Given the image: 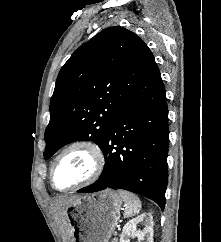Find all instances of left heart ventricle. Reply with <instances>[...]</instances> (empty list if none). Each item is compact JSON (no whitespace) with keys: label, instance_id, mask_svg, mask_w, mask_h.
I'll use <instances>...</instances> for the list:
<instances>
[{"label":"left heart ventricle","instance_id":"b2bd125f","mask_svg":"<svg viewBox=\"0 0 221 242\" xmlns=\"http://www.w3.org/2000/svg\"><path fill=\"white\" fill-rule=\"evenodd\" d=\"M93 159L83 148L67 151L57 162L53 180L58 188L71 187L86 179L92 172Z\"/></svg>","mask_w":221,"mask_h":242}]
</instances>
